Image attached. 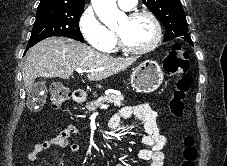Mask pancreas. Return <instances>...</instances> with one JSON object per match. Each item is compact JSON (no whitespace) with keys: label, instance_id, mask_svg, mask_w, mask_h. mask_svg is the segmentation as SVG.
Instances as JSON below:
<instances>
[{"label":"pancreas","instance_id":"pancreas-1","mask_svg":"<svg viewBox=\"0 0 227 166\" xmlns=\"http://www.w3.org/2000/svg\"><path fill=\"white\" fill-rule=\"evenodd\" d=\"M124 98L118 95H106L104 97H99L97 100L88 102L86 104V109L94 111L97 107L102 106L104 103H112L115 107H120L123 105Z\"/></svg>","mask_w":227,"mask_h":166}]
</instances>
